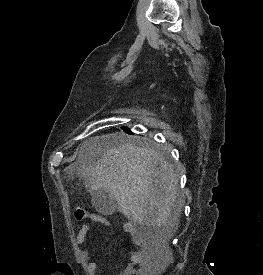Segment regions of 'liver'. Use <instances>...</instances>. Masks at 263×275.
I'll use <instances>...</instances> for the list:
<instances>
[{"label":"liver","mask_w":263,"mask_h":275,"mask_svg":"<svg viewBox=\"0 0 263 275\" xmlns=\"http://www.w3.org/2000/svg\"><path fill=\"white\" fill-rule=\"evenodd\" d=\"M95 137L82 146L81 157L116 140ZM114 139V138H112ZM79 173L89 190H107L134 224L147 227L177 226L182 201H177L173 167L156 150L127 142L107 147L95 163L79 161Z\"/></svg>","instance_id":"6515ba94"}]
</instances>
